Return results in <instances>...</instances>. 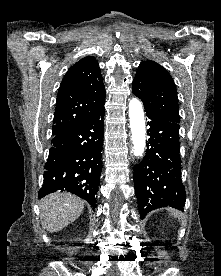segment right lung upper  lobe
<instances>
[{
	"label": "right lung upper lobe",
	"mask_w": 221,
	"mask_h": 276,
	"mask_svg": "<svg viewBox=\"0 0 221 276\" xmlns=\"http://www.w3.org/2000/svg\"><path fill=\"white\" fill-rule=\"evenodd\" d=\"M105 104V87L98 62L85 57L64 76L56 100L52 135L73 128Z\"/></svg>",
	"instance_id": "1"
}]
</instances>
